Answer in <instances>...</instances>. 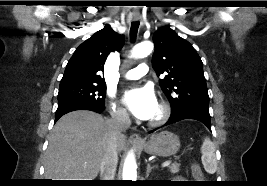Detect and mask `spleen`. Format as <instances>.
<instances>
[{
    "label": "spleen",
    "instance_id": "spleen-1",
    "mask_svg": "<svg viewBox=\"0 0 267 186\" xmlns=\"http://www.w3.org/2000/svg\"><path fill=\"white\" fill-rule=\"evenodd\" d=\"M202 163L208 173H214L217 169L215 147L212 141L206 137L201 147Z\"/></svg>",
    "mask_w": 267,
    "mask_h": 186
}]
</instances>
